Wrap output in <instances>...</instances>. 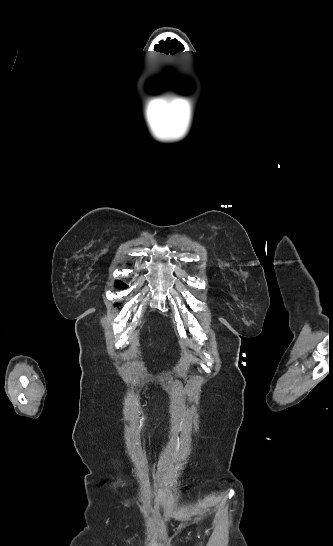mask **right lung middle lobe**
Masks as SVG:
<instances>
[{"label":"right lung middle lobe","instance_id":"dd1d6c3e","mask_svg":"<svg viewBox=\"0 0 333 546\" xmlns=\"http://www.w3.org/2000/svg\"><path fill=\"white\" fill-rule=\"evenodd\" d=\"M116 287H117V288H122V287H127V286H126L123 282L117 281V282H116Z\"/></svg>","mask_w":333,"mask_h":546}]
</instances>
